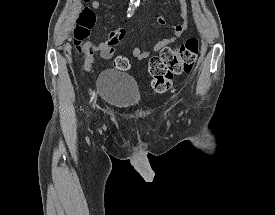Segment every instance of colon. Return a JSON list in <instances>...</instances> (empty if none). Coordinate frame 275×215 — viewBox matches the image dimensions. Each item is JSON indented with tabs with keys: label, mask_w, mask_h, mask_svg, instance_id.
<instances>
[{
	"label": "colon",
	"mask_w": 275,
	"mask_h": 215,
	"mask_svg": "<svg viewBox=\"0 0 275 215\" xmlns=\"http://www.w3.org/2000/svg\"><path fill=\"white\" fill-rule=\"evenodd\" d=\"M94 25V13L90 8H84L74 29L75 45L79 49ZM198 50L199 44L195 38H188L174 48H163L158 56L149 61L148 68L152 76V88L158 93L166 92L176 75L191 72L197 60ZM89 54L92 55V51ZM113 65L120 71H126L130 67V62L125 56H117Z\"/></svg>",
	"instance_id": "obj_1"
}]
</instances>
